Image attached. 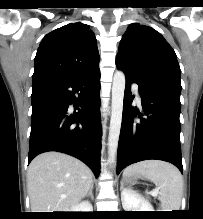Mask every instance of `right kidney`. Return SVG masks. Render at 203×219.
Instances as JSON below:
<instances>
[{"label":"right kidney","instance_id":"1","mask_svg":"<svg viewBox=\"0 0 203 219\" xmlns=\"http://www.w3.org/2000/svg\"><path fill=\"white\" fill-rule=\"evenodd\" d=\"M69 212H92L93 207L89 202H81L79 204H76L71 208V210H68Z\"/></svg>","mask_w":203,"mask_h":219}]
</instances>
